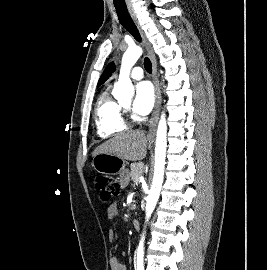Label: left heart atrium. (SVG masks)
<instances>
[{"label": "left heart atrium", "mask_w": 267, "mask_h": 270, "mask_svg": "<svg viewBox=\"0 0 267 270\" xmlns=\"http://www.w3.org/2000/svg\"><path fill=\"white\" fill-rule=\"evenodd\" d=\"M155 102V93L149 81H141L136 85V94L133 102V111L138 115L148 114Z\"/></svg>", "instance_id": "1"}]
</instances>
